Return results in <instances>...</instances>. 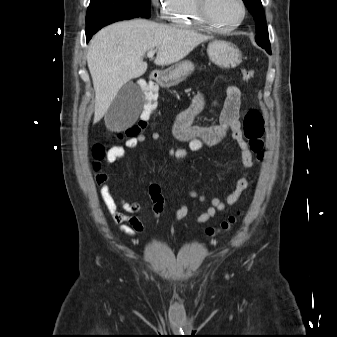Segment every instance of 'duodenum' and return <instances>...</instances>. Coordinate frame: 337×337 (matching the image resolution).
<instances>
[{"label": "duodenum", "mask_w": 337, "mask_h": 337, "mask_svg": "<svg viewBox=\"0 0 337 337\" xmlns=\"http://www.w3.org/2000/svg\"><path fill=\"white\" fill-rule=\"evenodd\" d=\"M161 76H162V74L160 72H152L150 74L151 79L153 81H156V82H158L160 80Z\"/></svg>", "instance_id": "410a0bca"}]
</instances>
